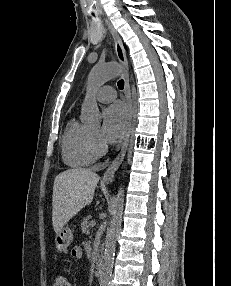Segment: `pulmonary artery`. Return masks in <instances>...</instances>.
<instances>
[{"label": "pulmonary artery", "mask_w": 231, "mask_h": 286, "mask_svg": "<svg viewBox=\"0 0 231 286\" xmlns=\"http://www.w3.org/2000/svg\"><path fill=\"white\" fill-rule=\"evenodd\" d=\"M116 91L111 86H103L96 92V99L102 103L112 102L116 98Z\"/></svg>", "instance_id": "e3ab8cb5"}]
</instances>
